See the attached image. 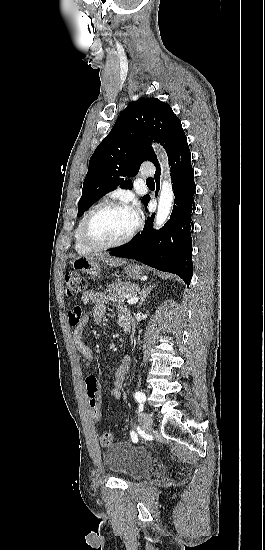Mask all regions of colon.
<instances>
[{"mask_svg": "<svg viewBox=\"0 0 265 550\" xmlns=\"http://www.w3.org/2000/svg\"><path fill=\"white\" fill-rule=\"evenodd\" d=\"M64 281L66 286V293L70 297H76L81 294L86 288V280L83 276L75 271H67L64 275ZM72 313L70 315V323L75 325L76 320ZM86 393L89 399V407L91 416L95 420H99L102 417L101 411V394L99 383L95 377H87L85 381ZM113 438L111 433L104 432L100 437V442L103 446H109L112 444Z\"/></svg>", "mask_w": 265, "mask_h": 550, "instance_id": "obj_1", "label": "colon"}]
</instances>
